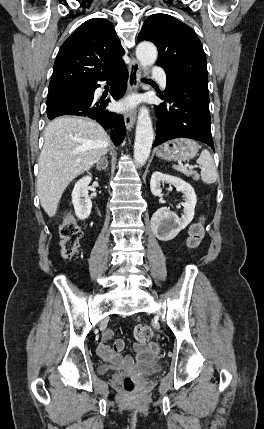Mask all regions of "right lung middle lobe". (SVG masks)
<instances>
[{"mask_svg":"<svg viewBox=\"0 0 264 429\" xmlns=\"http://www.w3.org/2000/svg\"><path fill=\"white\" fill-rule=\"evenodd\" d=\"M87 87H88V84H79V85H67V86L49 88L48 97H47V107L68 95L81 92L87 89Z\"/></svg>","mask_w":264,"mask_h":429,"instance_id":"obj_1","label":"right lung middle lobe"}]
</instances>
